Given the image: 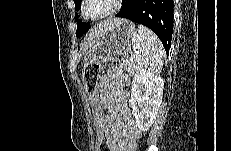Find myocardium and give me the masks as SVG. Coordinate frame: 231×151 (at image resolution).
Here are the masks:
<instances>
[{"label": "myocardium", "instance_id": "f54148a6", "mask_svg": "<svg viewBox=\"0 0 231 151\" xmlns=\"http://www.w3.org/2000/svg\"><path fill=\"white\" fill-rule=\"evenodd\" d=\"M91 0H83L81 5V16L85 20L99 21L114 15L120 8L122 0H108V8L99 14L90 15L87 13V7L90 5Z\"/></svg>", "mask_w": 231, "mask_h": 151}]
</instances>
